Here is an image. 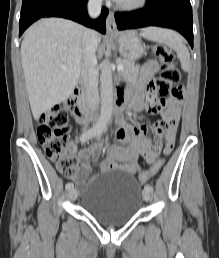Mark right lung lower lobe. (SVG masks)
<instances>
[{
  "instance_id": "98d812e1",
  "label": "right lung lower lobe",
  "mask_w": 219,
  "mask_h": 258,
  "mask_svg": "<svg viewBox=\"0 0 219 258\" xmlns=\"http://www.w3.org/2000/svg\"><path fill=\"white\" fill-rule=\"evenodd\" d=\"M88 0H23L19 36L36 20L42 17H63L74 20L85 26L95 28L101 33L106 32V17L108 9L102 8L100 17L91 20L87 15Z\"/></svg>"
}]
</instances>
